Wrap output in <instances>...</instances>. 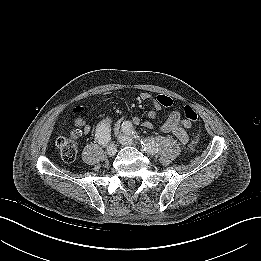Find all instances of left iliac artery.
I'll use <instances>...</instances> for the list:
<instances>
[{"label": "left iliac artery", "mask_w": 261, "mask_h": 261, "mask_svg": "<svg viewBox=\"0 0 261 261\" xmlns=\"http://www.w3.org/2000/svg\"><path fill=\"white\" fill-rule=\"evenodd\" d=\"M122 128H123V131H125L128 135H133L134 132L132 130V125L131 123H128V122H123L122 124ZM153 146V145H152Z\"/></svg>", "instance_id": "44dca946"}]
</instances>
